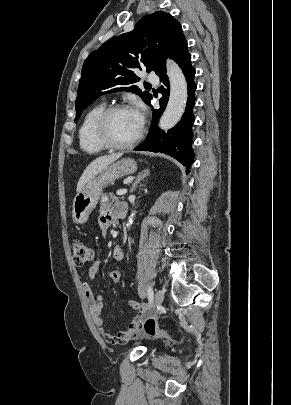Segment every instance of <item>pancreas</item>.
Listing matches in <instances>:
<instances>
[{
	"label": "pancreas",
	"instance_id": "cf45deb5",
	"mask_svg": "<svg viewBox=\"0 0 291 405\" xmlns=\"http://www.w3.org/2000/svg\"><path fill=\"white\" fill-rule=\"evenodd\" d=\"M119 201V198L116 197L113 193H110L109 196H107L106 194H104L101 198V206H100V210H105L108 209L110 207H112V205L114 203H117Z\"/></svg>",
	"mask_w": 291,
	"mask_h": 405
}]
</instances>
